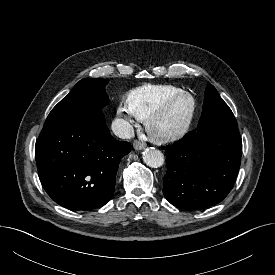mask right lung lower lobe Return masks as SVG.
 Instances as JSON below:
<instances>
[{
    "label": "right lung lower lobe",
    "instance_id": "1",
    "mask_svg": "<svg viewBox=\"0 0 275 275\" xmlns=\"http://www.w3.org/2000/svg\"><path fill=\"white\" fill-rule=\"evenodd\" d=\"M131 150L110 135L104 115L43 127L35 145L40 181L47 194L71 210L105 205L115 190L119 161Z\"/></svg>",
    "mask_w": 275,
    "mask_h": 275
}]
</instances>
